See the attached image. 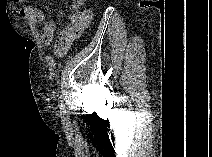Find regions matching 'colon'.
Segmentation results:
<instances>
[{
	"instance_id": "5ec220e1",
	"label": "colon",
	"mask_w": 212,
	"mask_h": 157,
	"mask_svg": "<svg viewBox=\"0 0 212 157\" xmlns=\"http://www.w3.org/2000/svg\"><path fill=\"white\" fill-rule=\"evenodd\" d=\"M68 7L75 12H82L84 9V2L82 0H68Z\"/></svg>"
}]
</instances>
